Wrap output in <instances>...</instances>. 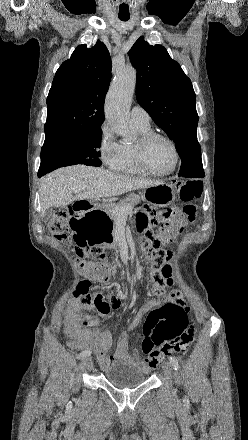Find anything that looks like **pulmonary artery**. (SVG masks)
<instances>
[{"instance_id":"pulmonary-artery-1","label":"pulmonary artery","mask_w":248,"mask_h":440,"mask_svg":"<svg viewBox=\"0 0 248 440\" xmlns=\"http://www.w3.org/2000/svg\"><path fill=\"white\" fill-rule=\"evenodd\" d=\"M131 119L135 125L142 127L150 126V115L139 105H135L131 109Z\"/></svg>"}]
</instances>
